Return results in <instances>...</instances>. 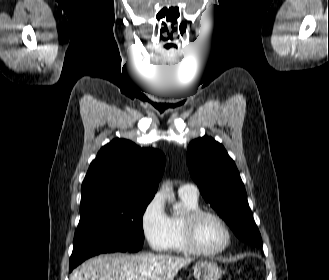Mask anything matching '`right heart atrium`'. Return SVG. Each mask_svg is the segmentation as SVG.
I'll list each match as a JSON object with an SVG mask.
<instances>
[{"label": "right heart atrium", "mask_w": 329, "mask_h": 280, "mask_svg": "<svg viewBox=\"0 0 329 280\" xmlns=\"http://www.w3.org/2000/svg\"><path fill=\"white\" fill-rule=\"evenodd\" d=\"M140 226L145 240L153 250H166L170 237L169 217L160 194L154 195L144 206Z\"/></svg>", "instance_id": "1"}]
</instances>
